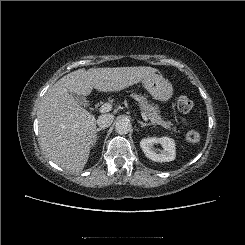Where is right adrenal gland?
<instances>
[{"mask_svg":"<svg viewBox=\"0 0 245 245\" xmlns=\"http://www.w3.org/2000/svg\"><path fill=\"white\" fill-rule=\"evenodd\" d=\"M101 130H104V128L99 127V128L96 129L95 135H94V139H93V143H94V144H95L96 141H97V133H98L99 131H101Z\"/></svg>","mask_w":245,"mask_h":245,"instance_id":"obj_1","label":"right adrenal gland"}]
</instances>
